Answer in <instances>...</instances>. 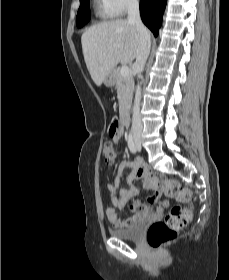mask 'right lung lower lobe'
Listing matches in <instances>:
<instances>
[{
    "mask_svg": "<svg viewBox=\"0 0 229 280\" xmlns=\"http://www.w3.org/2000/svg\"><path fill=\"white\" fill-rule=\"evenodd\" d=\"M166 3L167 0H141L140 2L142 21L155 36L158 35V30L161 26Z\"/></svg>",
    "mask_w": 229,
    "mask_h": 280,
    "instance_id": "98d812e1",
    "label": "right lung lower lobe"
}]
</instances>
